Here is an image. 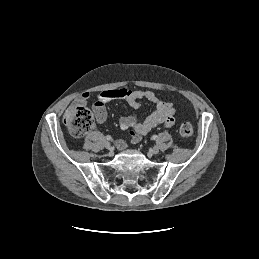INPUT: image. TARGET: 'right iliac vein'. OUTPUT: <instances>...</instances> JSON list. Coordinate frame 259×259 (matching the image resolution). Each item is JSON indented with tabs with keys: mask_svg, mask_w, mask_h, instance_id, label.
Returning a JSON list of instances; mask_svg holds the SVG:
<instances>
[{
	"mask_svg": "<svg viewBox=\"0 0 259 259\" xmlns=\"http://www.w3.org/2000/svg\"><path fill=\"white\" fill-rule=\"evenodd\" d=\"M105 148L108 149V150H111L112 147H111V144L109 142H105Z\"/></svg>",
	"mask_w": 259,
	"mask_h": 259,
	"instance_id": "63e3f726",
	"label": "right iliac vein"
}]
</instances>
